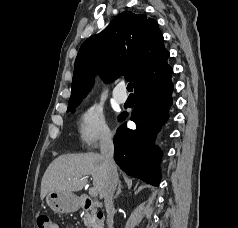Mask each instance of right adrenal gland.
Returning <instances> with one entry per match:
<instances>
[{
    "label": "right adrenal gland",
    "mask_w": 238,
    "mask_h": 228,
    "mask_svg": "<svg viewBox=\"0 0 238 228\" xmlns=\"http://www.w3.org/2000/svg\"><path fill=\"white\" fill-rule=\"evenodd\" d=\"M121 192H122V185H121V182L119 181L118 189H117V192H116L114 198H117Z\"/></svg>",
    "instance_id": "2a0ac1e0"
}]
</instances>
